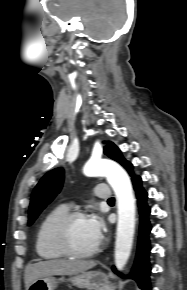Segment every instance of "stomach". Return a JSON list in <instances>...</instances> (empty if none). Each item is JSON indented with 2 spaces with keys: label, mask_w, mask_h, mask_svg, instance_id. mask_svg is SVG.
<instances>
[{
  "label": "stomach",
  "mask_w": 187,
  "mask_h": 290,
  "mask_svg": "<svg viewBox=\"0 0 187 290\" xmlns=\"http://www.w3.org/2000/svg\"><path fill=\"white\" fill-rule=\"evenodd\" d=\"M71 282L74 286L88 290H114L106 274L100 271H83L69 278L46 276L31 283L28 290H54L58 283Z\"/></svg>",
  "instance_id": "0dacf381"
}]
</instances>
